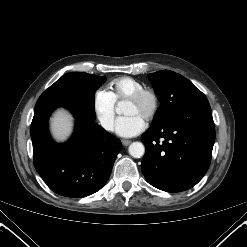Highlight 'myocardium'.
<instances>
[{
  "instance_id": "f54148a6",
  "label": "myocardium",
  "mask_w": 247,
  "mask_h": 247,
  "mask_svg": "<svg viewBox=\"0 0 247 247\" xmlns=\"http://www.w3.org/2000/svg\"><path fill=\"white\" fill-rule=\"evenodd\" d=\"M146 98L150 100L151 105H150V109H149L148 113L145 116V119L151 120L156 116V114L159 110V106H160L159 96L154 90L149 89V88H142V89L134 92L133 94H131L126 99V101L137 103V102H140Z\"/></svg>"
}]
</instances>
